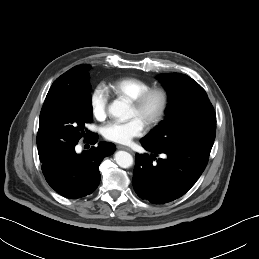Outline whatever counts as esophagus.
<instances>
[{
  "mask_svg": "<svg viewBox=\"0 0 259 259\" xmlns=\"http://www.w3.org/2000/svg\"><path fill=\"white\" fill-rule=\"evenodd\" d=\"M117 148H118V149L127 150V151H129V152H132V150H131L129 147H126V146L118 145Z\"/></svg>",
  "mask_w": 259,
  "mask_h": 259,
  "instance_id": "1",
  "label": "esophagus"
}]
</instances>
